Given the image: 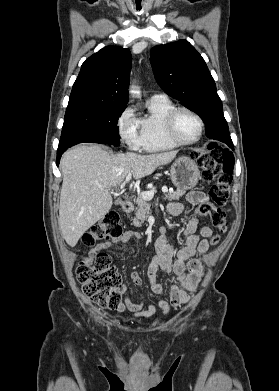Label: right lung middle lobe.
I'll use <instances>...</instances> for the list:
<instances>
[{"instance_id":"dd1d6c3e","label":"right lung middle lobe","mask_w":279,"mask_h":391,"mask_svg":"<svg viewBox=\"0 0 279 391\" xmlns=\"http://www.w3.org/2000/svg\"><path fill=\"white\" fill-rule=\"evenodd\" d=\"M125 106H88L66 110L58 148L104 137L119 139L117 121Z\"/></svg>"}]
</instances>
